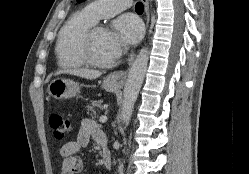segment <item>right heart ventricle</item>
Segmentation results:
<instances>
[{
    "mask_svg": "<svg viewBox=\"0 0 249 174\" xmlns=\"http://www.w3.org/2000/svg\"><path fill=\"white\" fill-rule=\"evenodd\" d=\"M86 12L75 13L60 31L56 55L58 63L64 68H78L86 64L81 47L87 31L95 24Z\"/></svg>",
    "mask_w": 249,
    "mask_h": 174,
    "instance_id": "e07e8e85",
    "label": "right heart ventricle"
}]
</instances>
